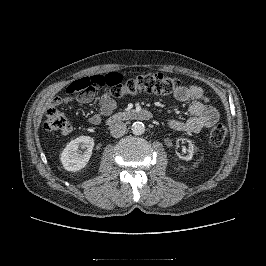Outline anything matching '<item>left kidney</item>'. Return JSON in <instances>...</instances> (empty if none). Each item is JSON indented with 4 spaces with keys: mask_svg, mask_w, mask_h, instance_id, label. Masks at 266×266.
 Instances as JSON below:
<instances>
[{
    "mask_svg": "<svg viewBox=\"0 0 266 266\" xmlns=\"http://www.w3.org/2000/svg\"><path fill=\"white\" fill-rule=\"evenodd\" d=\"M179 140H186V139H178V141ZM187 142H189V144H190V149L188 150V154L187 155H185V156H179L181 159H183V160H186V161H188V160H191L192 159V157H193V150H194V146H193V144L191 143V141H189V140H186Z\"/></svg>",
    "mask_w": 266,
    "mask_h": 266,
    "instance_id": "5707ae66",
    "label": "left kidney"
}]
</instances>
